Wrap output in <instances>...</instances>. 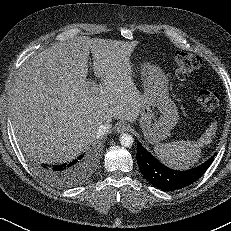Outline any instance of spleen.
Masks as SVG:
<instances>
[{
	"instance_id": "obj_1",
	"label": "spleen",
	"mask_w": 231,
	"mask_h": 231,
	"mask_svg": "<svg viewBox=\"0 0 231 231\" xmlns=\"http://www.w3.org/2000/svg\"><path fill=\"white\" fill-rule=\"evenodd\" d=\"M217 123H212L196 141H174L154 146V152L165 165L180 170L194 166L200 156L201 148L212 142L216 134Z\"/></svg>"
}]
</instances>
